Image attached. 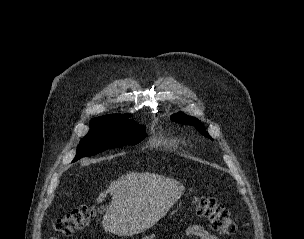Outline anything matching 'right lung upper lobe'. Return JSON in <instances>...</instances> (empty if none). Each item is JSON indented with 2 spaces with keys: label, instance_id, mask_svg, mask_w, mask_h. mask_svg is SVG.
<instances>
[{
  "label": "right lung upper lobe",
  "instance_id": "obj_1",
  "mask_svg": "<svg viewBox=\"0 0 304 239\" xmlns=\"http://www.w3.org/2000/svg\"><path fill=\"white\" fill-rule=\"evenodd\" d=\"M123 116H126V115H106V116L99 117V118H119V117H123Z\"/></svg>",
  "mask_w": 304,
  "mask_h": 239
}]
</instances>
